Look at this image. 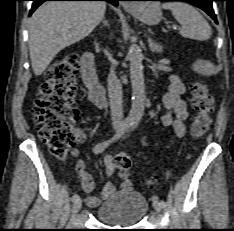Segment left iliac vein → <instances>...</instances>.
I'll return each instance as SVG.
<instances>
[{
    "instance_id": "left-iliac-vein-1",
    "label": "left iliac vein",
    "mask_w": 234,
    "mask_h": 231,
    "mask_svg": "<svg viewBox=\"0 0 234 231\" xmlns=\"http://www.w3.org/2000/svg\"><path fill=\"white\" fill-rule=\"evenodd\" d=\"M153 206H154V209L157 211V212H160L162 207L160 206L159 204V200H158V197L157 196H154L153 197Z\"/></svg>"
}]
</instances>
